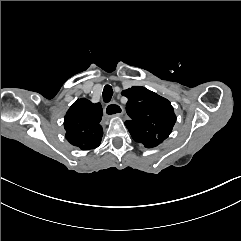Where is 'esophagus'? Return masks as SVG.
Instances as JSON below:
<instances>
[{"label":"esophagus","instance_id":"esophagus-1","mask_svg":"<svg viewBox=\"0 0 241 241\" xmlns=\"http://www.w3.org/2000/svg\"><path fill=\"white\" fill-rule=\"evenodd\" d=\"M123 114V107L116 101L109 102L104 108V115L107 117Z\"/></svg>","mask_w":241,"mask_h":241}]
</instances>
